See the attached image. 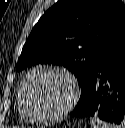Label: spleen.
I'll use <instances>...</instances> for the list:
<instances>
[{
    "label": "spleen",
    "mask_w": 125,
    "mask_h": 128,
    "mask_svg": "<svg viewBox=\"0 0 125 128\" xmlns=\"http://www.w3.org/2000/svg\"><path fill=\"white\" fill-rule=\"evenodd\" d=\"M91 128H113V126L101 121L97 117H93L90 119Z\"/></svg>",
    "instance_id": "3e777b00"
}]
</instances>
